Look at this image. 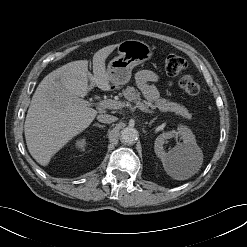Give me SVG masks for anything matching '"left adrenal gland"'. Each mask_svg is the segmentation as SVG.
<instances>
[{"mask_svg":"<svg viewBox=\"0 0 247 247\" xmlns=\"http://www.w3.org/2000/svg\"><path fill=\"white\" fill-rule=\"evenodd\" d=\"M156 120V118H154L153 120H151L148 124H149V126H151L152 125V123L154 122Z\"/></svg>","mask_w":247,"mask_h":247,"instance_id":"left-adrenal-gland-1","label":"left adrenal gland"}]
</instances>
